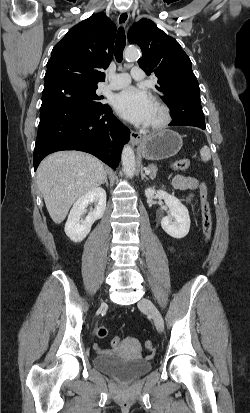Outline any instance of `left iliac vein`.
<instances>
[{"label": "left iliac vein", "mask_w": 250, "mask_h": 413, "mask_svg": "<svg viewBox=\"0 0 250 413\" xmlns=\"http://www.w3.org/2000/svg\"><path fill=\"white\" fill-rule=\"evenodd\" d=\"M138 306L140 309L147 311V313L152 317L157 330L162 332L164 330V321L161 313L153 302L147 298H142L139 301Z\"/></svg>", "instance_id": "4c4485c4"}]
</instances>
